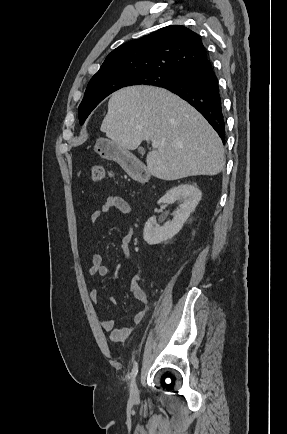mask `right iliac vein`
Returning <instances> with one entry per match:
<instances>
[{
    "instance_id": "obj_1",
    "label": "right iliac vein",
    "mask_w": 287,
    "mask_h": 434,
    "mask_svg": "<svg viewBox=\"0 0 287 434\" xmlns=\"http://www.w3.org/2000/svg\"><path fill=\"white\" fill-rule=\"evenodd\" d=\"M130 395L133 399H137L139 397V389L136 380H134L131 384Z\"/></svg>"
}]
</instances>
